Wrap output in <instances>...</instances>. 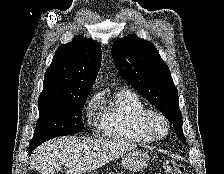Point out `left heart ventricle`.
<instances>
[{
    "label": "left heart ventricle",
    "instance_id": "b2bd125f",
    "mask_svg": "<svg viewBox=\"0 0 224 174\" xmlns=\"http://www.w3.org/2000/svg\"><path fill=\"white\" fill-rule=\"evenodd\" d=\"M152 127L158 133H162L164 131V124L159 119L152 120Z\"/></svg>",
    "mask_w": 224,
    "mask_h": 174
}]
</instances>
